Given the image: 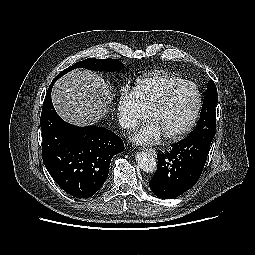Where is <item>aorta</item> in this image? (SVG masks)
<instances>
[{
  "label": "aorta",
  "instance_id": "762f6f07",
  "mask_svg": "<svg viewBox=\"0 0 255 255\" xmlns=\"http://www.w3.org/2000/svg\"><path fill=\"white\" fill-rule=\"evenodd\" d=\"M136 161L140 169L146 173H154L157 169L155 156L151 152H138L136 155Z\"/></svg>",
  "mask_w": 255,
  "mask_h": 255
}]
</instances>
